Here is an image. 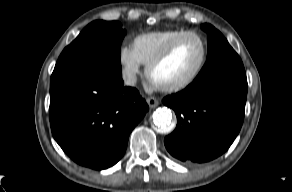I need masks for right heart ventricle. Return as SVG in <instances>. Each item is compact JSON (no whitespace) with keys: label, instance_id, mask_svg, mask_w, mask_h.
<instances>
[{"label":"right heart ventricle","instance_id":"right-heart-ventricle-1","mask_svg":"<svg viewBox=\"0 0 292 192\" xmlns=\"http://www.w3.org/2000/svg\"><path fill=\"white\" fill-rule=\"evenodd\" d=\"M186 32L183 29H165L137 35L133 40L135 50L142 64L147 65L175 37Z\"/></svg>","mask_w":292,"mask_h":192}]
</instances>
